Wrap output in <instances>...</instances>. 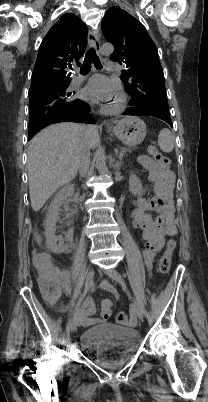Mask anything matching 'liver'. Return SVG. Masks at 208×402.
Wrapping results in <instances>:
<instances>
[{"instance_id": "1", "label": "liver", "mask_w": 208, "mask_h": 402, "mask_svg": "<svg viewBox=\"0 0 208 402\" xmlns=\"http://www.w3.org/2000/svg\"><path fill=\"white\" fill-rule=\"evenodd\" d=\"M82 128H86L85 134H82ZM81 138L87 140L90 148H96L99 144L96 126L53 124L31 140L27 168L34 212L41 210L58 188L75 178L78 172L76 154Z\"/></svg>"}]
</instances>
